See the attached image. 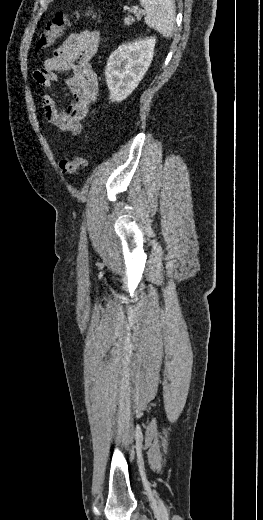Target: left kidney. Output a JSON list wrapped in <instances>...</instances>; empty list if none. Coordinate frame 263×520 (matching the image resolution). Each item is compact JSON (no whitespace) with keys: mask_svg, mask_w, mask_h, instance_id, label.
<instances>
[{"mask_svg":"<svg viewBox=\"0 0 263 520\" xmlns=\"http://www.w3.org/2000/svg\"><path fill=\"white\" fill-rule=\"evenodd\" d=\"M154 37L121 45L109 57L105 76L110 99L120 102L138 86L154 54Z\"/></svg>","mask_w":263,"mask_h":520,"instance_id":"5707ae66","label":"left kidney"}]
</instances>
